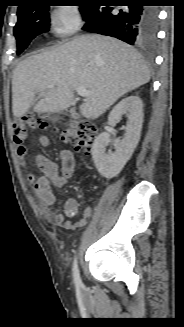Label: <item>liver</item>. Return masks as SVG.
Instances as JSON below:
<instances>
[{
    "label": "liver",
    "instance_id": "obj_1",
    "mask_svg": "<svg viewBox=\"0 0 184 327\" xmlns=\"http://www.w3.org/2000/svg\"><path fill=\"white\" fill-rule=\"evenodd\" d=\"M150 70L141 54L112 37L81 35L52 50L29 56L13 72L12 110L16 118L33 106L38 113H60L80 87L90 94L79 109L87 119L101 116L124 94L148 83ZM52 85L53 89H47Z\"/></svg>",
    "mask_w": 184,
    "mask_h": 327
}]
</instances>
